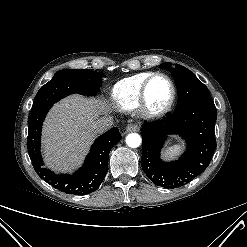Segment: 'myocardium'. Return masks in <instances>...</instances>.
<instances>
[{"mask_svg":"<svg viewBox=\"0 0 247 247\" xmlns=\"http://www.w3.org/2000/svg\"><path fill=\"white\" fill-rule=\"evenodd\" d=\"M158 77H163L169 82L171 87V96L169 101L166 103V105H164L161 108L155 109L152 108L149 104L148 89L151 82ZM175 99H176V86L172 78L165 73H161V72L153 73L151 76H149L146 79V81L142 85L140 91L139 105H138L139 111L141 115L144 116L145 118L158 119L165 116L172 109Z\"/></svg>","mask_w":247,"mask_h":247,"instance_id":"myocardium-1","label":"myocardium"}]
</instances>
